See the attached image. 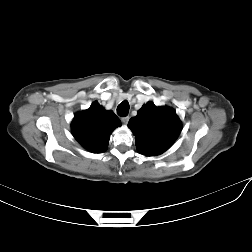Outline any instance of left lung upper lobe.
I'll use <instances>...</instances> for the list:
<instances>
[{
    "instance_id": "5c2ea615",
    "label": "left lung upper lobe",
    "mask_w": 252,
    "mask_h": 252,
    "mask_svg": "<svg viewBox=\"0 0 252 252\" xmlns=\"http://www.w3.org/2000/svg\"><path fill=\"white\" fill-rule=\"evenodd\" d=\"M128 127L135 135L138 152L155 156L172 146L182 130V123L171 108L157 107L149 101L129 120Z\"/></svg>"
}]
</instances>
